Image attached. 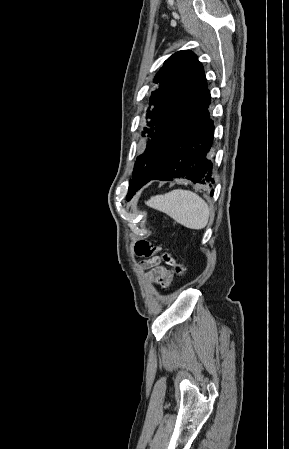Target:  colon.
Here are the masks:
<instances>
[{
  "label": "colon",
  "instance_id": "colon-1",
  "mask_svg": "<svg viewBox=\"0 0 289 449\" xmlns=\"http://www.w3.org/2000/svg\"><path fill=\"white\" fill-rule=\"evenodd\" d=\"M134 250L136 255L139 257H151L161 252V248L159 246H155L150 241L145 239L137 241ZM161 260L166 265L170 266L177 275H185L186 268L176 261V259L169 252H162Z\"/></svg>",
  "mask_w": 289,
  "mask_h": 449
}]
</instances>
